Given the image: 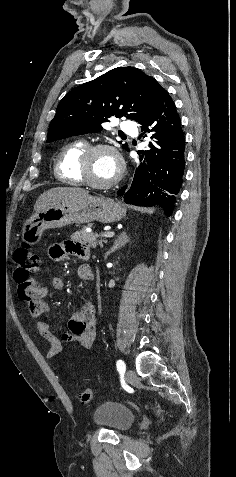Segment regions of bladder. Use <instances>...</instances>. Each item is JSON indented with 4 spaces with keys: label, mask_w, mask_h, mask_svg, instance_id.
<instances>
[{
    "label": "bladder",
    "mask_w": 236,
    "mask_h": 477,
    "mask_svg": "<svg viewBox=\"0 0 236 477\" xmlns=\"http://www.w3.org/2000/svg\"><path fill=\"white\" fill-rule=\"evenodd\" d=\"M134 414L127 407L116 402H104L92 413V422L115 432L129 430L134 422Z\"/></svg>",
    "instance_id": "bladder-1"
}]
</instances>
